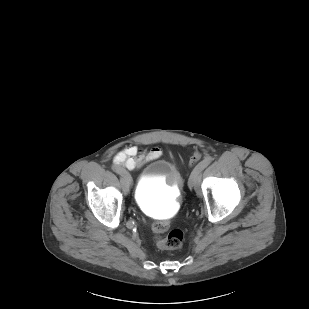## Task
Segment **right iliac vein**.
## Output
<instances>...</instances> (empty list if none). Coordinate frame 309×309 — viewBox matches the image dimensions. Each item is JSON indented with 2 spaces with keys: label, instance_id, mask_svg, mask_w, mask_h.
<instances>
[{
  "label": "right iliac vein",
  "instance_id": "right-iliac-vein-1",
  "mask_svg": "<svg viewBox=\"0 0 309 309\" xmlns=\"http://www.w3.org/2000/svg\"><path fill=\"white\" fill-rule=\"evenodd\" d=\"M121 183L125 187V189L128 190L132 185L131 177L126 178L125 175L121 176Z\"/></svg>",
  "mask_w": 309,
  "mask_h": 309
}]
</instances>
